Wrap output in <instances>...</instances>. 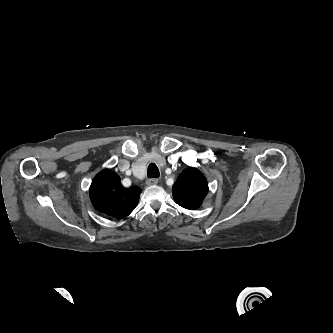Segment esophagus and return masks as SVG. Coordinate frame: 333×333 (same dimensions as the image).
<instances>
[{
  "mask_svg": "<svg viewBox=\"0 0 333 333\" xmlns=\"http://www.w3.org/2000/svg\"><path fill=\"white\" fill-rule=\"evenodd\" d=\"M147 185H156V184H158V179L157 178H150V179H148L147 180Z\"/></svg>",
  "mask_w": 333,
  "mask_h": 333,
  "instance_id": "obj_1",
  "label": "esophagus"
}]
</instances>
